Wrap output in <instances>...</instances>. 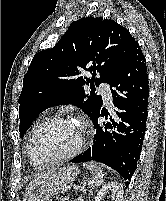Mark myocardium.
<instances>
[{
	"label": "myocardium",
	"instance_id": "myocardium-1",
	"mask_svg": "<svg viewBox=\"0 0 166 201\" xmlns=\"http://www.w3.org/2000/svg\"><path fill=\"white\" fill-rule=\"evenodd\" d=\"M71 120V118L67 115H62V114H58V115H53V116H49L44 118L33 130L30 141H29V146H28V154H29V158H30V162L35 166V167H46V166H50L59 162H63L69 159L74 158L75 156H77L84 148V144L86 141V137H87V129L85 127H82V138L78 144V146L71 152L62 155V156H58L55 158L50 159L49 161H47L46 163L43 164H39L34 156V144L35 141L37 139V136L39 134V132L48 124H51L53 122H57V121H68ZM72 121V120H71Z\"/></svg>",
	"mask_w": 166,
	"mask_h": 201
}]
</instances>
